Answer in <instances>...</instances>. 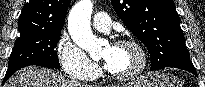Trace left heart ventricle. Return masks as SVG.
I'll use <instances>...</instances> for the list:
<instances>
[{
  "label": "left heart ventricle",
  "mask_w": 205,
  "mask_h": 87,
  "mask_svg": "<svg viewBox=\"0 0 205 87\" xmlns=\"http://www.w3.org/2000/svg\"><path fill=\"white\" fill-rule=\"evenodd\" d=\"M100 58L107 63L109 71L120 75L131 72L139 63L138 52L128 46H107Z\"/></svg>",
  "instance_id": "1"
}]
</instances>
